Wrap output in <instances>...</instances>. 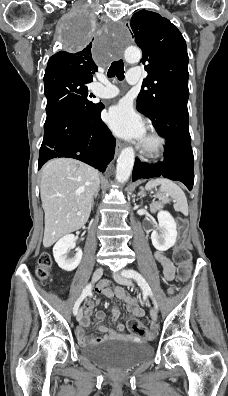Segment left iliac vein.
Wrapping results in <instances>:
<instances>
[{
  "mask_svg": "<svg viewBox=\"0 0 228 396\" xmlns=\"http://www.w3.org/2000/svg\"><path fill=\"white\" fill-rule=\"evenodd\" d=\"M113 278L116 282H118L122 285L132 286L131 280L128 279L127 277L123 276L122 274L114 273ZM150 316H151V319L153 322L157 321L158 315H157V311L154 307H152L150 310Z\"/></svg>",
  "mask_w": 228,
  "mask_h": 396,
  "instance_id": "obj_1",
  "label": "left iliac vein"
}]
</instances>
